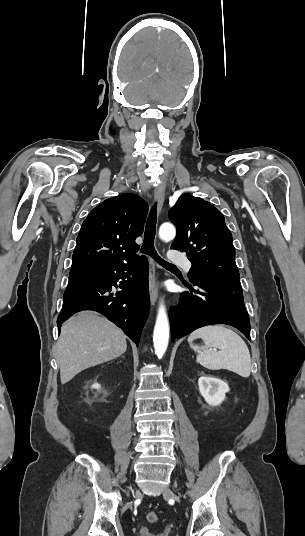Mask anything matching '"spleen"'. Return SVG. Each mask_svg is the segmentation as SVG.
I'll return each instance as SVG.
<instances>
[{
    "label": "spleen",
    "mask_w": 305,
    "mask_h": 536,
    "mask_svg": "<svg viewBox=\"0 0 305 536\" xmlns=\"http://www.w3.org/2000/svg\"><path fill=\"white\" fill-rule=\"evenodd\" d=\"M201 338L205 346H193V340ZM190 348L197 352V362L207 370H230L242 378L251 372L250 352L242 338L225 326H205L192 332L188 338ZM208 348H219L208 350Z\"/></svg>",
    "instance_id": "3e777b00"
}]
</instances>
